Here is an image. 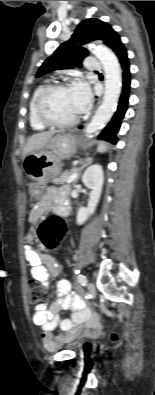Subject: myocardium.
<instances>
[{"mask_svg": "<svg viewBox=\"0 0 155 395\" xmlns=\"http://www.w3.org/2000/svg\"><path fill=\"white\" fill-rule=\"evenodd\" d=\"M70 88V84L66 82H58L54 84L47 85L41 89V91L38 93L35 103H34V111L37 119L45 126L48 127H58V128H68L76 125L79 121V117H75L74 119L67 121V122H61V121H56L51 119L44 111V103L47 97L58 90H63Z\"/></svg>", "mask_w": 155, "mask_h": 395, "instance_id": "obj_1", "label": "myocardium"}]
</instances>
